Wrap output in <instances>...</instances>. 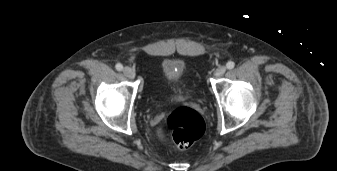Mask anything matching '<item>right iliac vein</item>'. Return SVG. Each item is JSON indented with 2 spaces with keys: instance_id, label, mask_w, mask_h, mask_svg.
<instances>
[{
  "instance_id": "63e3f726",
  "label": "right iliac vein",
  "mask_w": 337,
  "mask_h": 171,
  "mask_svg": "<svg viewBox=\"0 0 337 171\" xmlns=\"http://www.w3.org/2000/svg\"><path fill=\"white\" fill-rule=\"evenodd\" d=\"M123 73H124V75H125L127 78H129V79H133V78L135 77V72H134V70H133L132 68H130V67H125V68L123 69Z\"/></svg>"
}]
</instances>
